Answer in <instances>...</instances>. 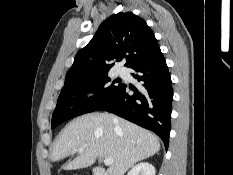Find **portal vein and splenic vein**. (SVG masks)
<instances>
[{
    "mask_svg": "<svg viewBox=\"0 0 233 175\" xmlns=\"http://www.w3.org/2000/svg\"><path fill=\"white\" fill-rule=\"evenodd\" d=\"M82 151H83V149L80 148L79 152H82ZM113 162H114V160L112 158L107 157V158L104 159V164L106 166H109V165L113 164Z\"/></svg>",
    "mask_w": 233,
    "mask_h": 175,
    "instance_id": "obj_1",
    "label": "portal vein and splenic vein"
}]
</instances>
